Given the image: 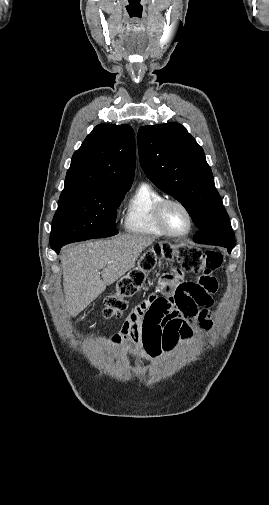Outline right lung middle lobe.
I'll return each instance as SVG.
<instances>
[{"label":"right lung middle lobe","mask_w":269,"mask_h":505,"mask_svg":"<svg viewBox=\"0 0 269 505\" xmlns=\"http://www.w3.org/2000/svg\"><path fill=\"white\" fill-rule=\"evenodd\" d=\"M126 192L108 189L63 190L52 223L51 246L117 234L116 209Z\"/></svg>","instance_id":"1"}]
</instances>
